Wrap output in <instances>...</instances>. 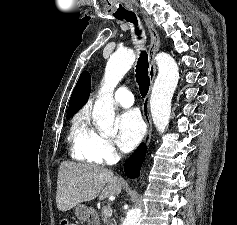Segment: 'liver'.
<instances>
[{"instance_id": "1", "label": "liver", "mask_w": 237, "mask_h": 225, "mask_svg": "<svg viewBox=\"0 0 237 225\" xmlns=\"http://www.w3.org/2000/svg\"><path fill=\"white\" fill-rule=\"evenodd\" d=\"M121 190L122 183L111 170L93 164L64 161L58 170L56 204L58 210L66 212L98 196L104 199L118 195Z\"/></svg>"}]
</instances>
